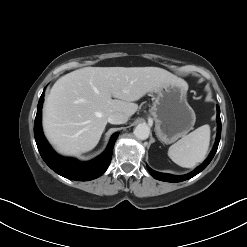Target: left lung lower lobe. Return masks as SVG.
<instances>
[{
	"instance_id": "obj_1",
	"label": "left lung lower lobe",
	"mask_w": 247,
	"mask_h": 247,
	"mask_svg": "<svg viewBox=\"0 0 247 247\" xmlns=\"http://www.w3.org/2000/svg\"><path fill=\"white\" fill-rule=\"evenodd\" d=\"M217 122H218V127H217V137H216V142L215 145L210 153V155L208 156V158L204 161V163L197 167L193 172L186 174V175H182V176H175V175H171V174H164V173H159L156 172L154 170H152L151 168L148 167L149 172L151 173V175L157 179V180H161V181H166V182H181V181H185L187 179H190L192 177H194L195 175H197L198 173H200L202 170H204L207 165L211 162V160L213 159L218 145H219V141H220V137H221V119H220V108L219 106H217Z\"/></svg>"
}]
</instances>
